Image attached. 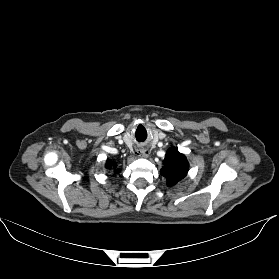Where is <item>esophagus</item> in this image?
Listing matches in <instances>:
<instances>
[{"instance_id": "obj_1", "label": "esophagus", "mask_w": 279, "mask_h": 279, "mask_svg": "<svg viewBox=\"0 0 279 279\" xmlns=\"http://www.w3.org/2000/svg\"><path fill=\"white\" fill-rule=\"evenodd\" d=\"M137 154L140 157H147L148 152H147V150H140V151H137Z\"/></svg>"}]
</instances>
